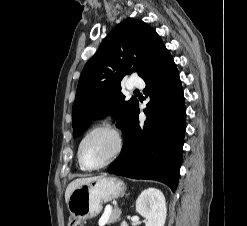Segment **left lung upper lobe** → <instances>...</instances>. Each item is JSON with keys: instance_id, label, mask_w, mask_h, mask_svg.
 I'll list each match as a JSON object with an SVG mask.
<instances>
[{"instance_id": "5c2ea615", "label": "left lung upper lobe", "mask_w": 247, "mask_h": 226, "mask_svg": "<svg viewBox=\"0 0 247 226\" xmlns=\"http://www.w3.org/2000/svg\"><path fill=\"white\" fill-rule=\"evenodd\" d=\"M165 45L160 36L141 20L125 19L103 40L85 64L73 104V134L81 135L92 120L112 112L118 127L125 129L138 104L125 101L121 80L138 72L143 77Z\"/></svg>"}]
</instances>
